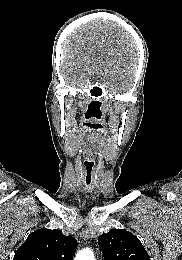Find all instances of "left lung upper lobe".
I'll return each mask as SVG.
<instances>
[{"label":"left lung upper lobe","instance_id":"1","mask_svg":"<svg viewBox=\"0 0 182 260\" xmlns=\"http://www.w3.org/2000/svg\"><path fill=\"white\" fill-rule=\"evenodd\" d=\"M98 244L105 260H150L140 240L126 230L104 233L99 236Z\"/></svg>","mask_w":182,"mask_h":260}]
</instances>
